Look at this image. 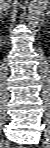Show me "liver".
I'll use <instances>...</instances> for the list:
<instances>
[{"mask_svg": "<svg viewBox=\"0 0 50 148\" xmlns=\"http://www.w3.org/2000/svg\"><path fill=\"white\" fill-rule=\"evenodd\" d=\"M3 1H4V0H1V1H0V3H1V6H2V3H3Z\"/></svg>", "mask_w": 50, "mask_h": 148, "instance_id": "obj_1", "label": "liver"}]
</instances>
